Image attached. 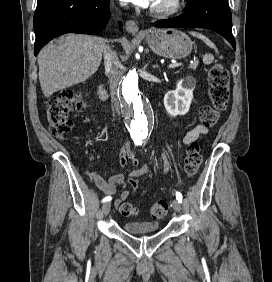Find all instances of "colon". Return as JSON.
Listing matches in <instances>:
<instances>
[{"label":"colon","mask_w":272,"mask_h":282,"mask_svg":"<svg viewBox=\"0 0 272 282\" xmlns=\"http://www.w3.org/2000/svg\"><path fill=\"white\" fill-rule=\"evenodd\" d=\"M229 73L219 63L214 64L209 71V95L211 105L203 106L199 111V121L202 125L210 127L215 125L221 118V114L227 108L230 97ZM84 103L79 97L72 93H62L53 97L46 109V120L50 127L51 134L58 138H65L71 131L73 124L67 115L74 111H83ZM200 145L197 142L190 143L187 147L184 159V169L189 177H193L199 170L202 157ZM135 178H130L129 183H135ZM123 216H136L138 211L129 202H123L118 207ZM168 211V203L159 201L151 208V215L154 218H164Z\"/></svg>","instance_id":"5ec220e1"}]
</instances>
